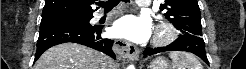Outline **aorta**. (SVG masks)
<instances>
[{
	"label": "aorta",
	"instance_id": "1",
	"mask_svg": "<svg viewBox=\"0 0 246 69\" xmlns=\"http://www.w3.org/2000/svg\"><path fill=\"white\" fill-rule=\"evenodd\" d=\"M128 69H135L134 65H130Z\"/></svg>",
	"mask_w": 246,
	"mask_h": 69
}]
</instances>
